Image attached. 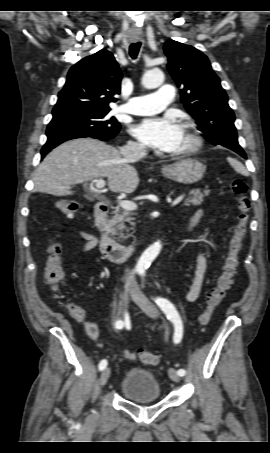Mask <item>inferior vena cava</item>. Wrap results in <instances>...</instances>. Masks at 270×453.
<instances>
[{"label": "inferior vena cava", "mask_w": 270, "mask_h": 453, "mask_svg": "<svg viewBox=\"0 0 270 453\" xmlns=\"http://www.w3.org/2000/svg\"><path fill=\"white\" fill-rule=\"evenodd\" d=\"M120 153L128 162H136L146 156L145 147L142 144L128 143L120 147ZM126 273L130 274V270L126 269Z\"/></svg>", "instance_id": "inferior-vena-cava-1"}]
</instances>
